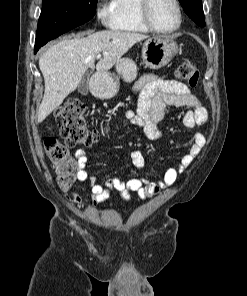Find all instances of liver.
<instances>
[{
	"mask_svg": "<svg viewBox=\"0 0 247 296\" xmlns=\"http://www.w3.org/2000/svg\"><path fill=\"white\" fill-rule=\"evenodd\" d=\"M146 38L148 36L139 33L106 30L88 34L87 37L66 39L50 47L39 58L45 90L38 111V123L77 88L87 69L94 67L98 54L102 53L103 58L96 64L97 73H105L135 43Z\"/></svg>",
	"mask_w": 247,
	"mask_h": 296,
	"instance_id": "obj_1",
	"label": "liver"
}]
</instances>
